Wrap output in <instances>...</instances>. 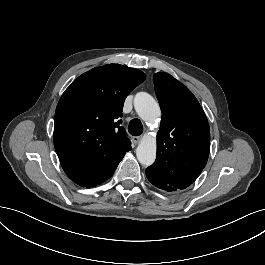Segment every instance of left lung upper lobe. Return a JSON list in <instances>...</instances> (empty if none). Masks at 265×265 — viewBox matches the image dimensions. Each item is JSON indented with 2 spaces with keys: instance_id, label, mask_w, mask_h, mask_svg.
I'll return each mask as SVG.
<instances>
[{
  "instance_id": "obj_1",
  "label": "left lung upper lobe",
  "mask_w": 265,
  "mask_h": 265,
  "mask_svg": "<svg viewBox=\"0 0 265 265\" xmlns=\"http://www.w3.org/2000/svg\"><path fill=\"white\" fill-rule=\"evenodd\" d=\"M162 111L157 157L146 171L177 189L190 186L204 169L210 152V128L198 100L167 73L153 76Z\"/></svg>"
}]
</instances>
